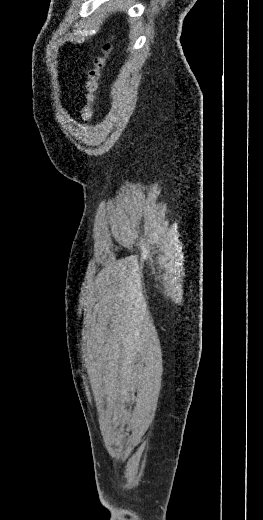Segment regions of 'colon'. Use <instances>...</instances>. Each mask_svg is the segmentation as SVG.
I'll list each match as a JSON object with an SVG mask.
<instances>
[{"label": "colon", "mask_w": 263, "mask_h": 520, "mask_svg": "<svg viewBox=\"0 0 263 520\" xmlns=\"http://www.w3.org/2000/svg\"><path fill=\"white\" fill-rule=\"evenodd\" d=\"M112 50V42H106L102 46V54L93 59L91 67L87 70L85 82V102L80 110L81 117L84 120H89L92 117L93 107L99 89L102 71L106 66L107 59L111 55Z\"/></svg>", "instance_id": "5ec220e1"}]
</instances>
